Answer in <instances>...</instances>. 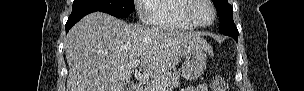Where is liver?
I'll return each instance as SVG.
<instances>
[{"label": "liver", "mask_w": 304, "mask_h": 91, "mask_svg": "<svg viewBox=\"0 0 304 91\" xmlns=\"http://www.w3.org/2000/svg\"><path fill=\"white\" fill-rule=\"evenodd\" d=\"M211 51L199 33L127 24L94 12L68 33L67 91H126L130 63L141 59L143 75L156 78L170 72L192 48Z\"/></svg>", "instance_id": "6515ba94"}]
</instances>
